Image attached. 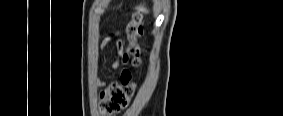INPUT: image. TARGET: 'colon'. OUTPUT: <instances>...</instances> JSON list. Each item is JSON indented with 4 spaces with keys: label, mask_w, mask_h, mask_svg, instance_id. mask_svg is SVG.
<instances>
[{
    "label": "colon",
    "mask_w": 283,
    "mask_h": 116,
    "mask_svg": "<svg viewBox=\"0 0 283 116\" xmlns=\"http://www.w3.org/2000/svg\"><path fill=\"white\" fill-rule=\"evenodd\" d=\"M142 26L141 14H135L127 22L125 33L128 45L124 52L126 58L130 57L134 66L142 61L143 49L137 42ZM135 89L131 74L122 75L120 81L109 83L100 93L99 111L102 115H113L124 109L130 102Z\"/></svg>",
    "instance_id": "1"
}]
</instances>
